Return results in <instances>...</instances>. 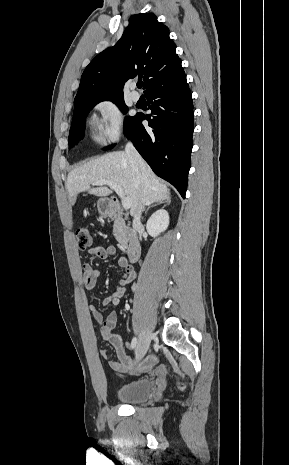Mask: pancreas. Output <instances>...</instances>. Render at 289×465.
Instances as JSON below:
<instances>
[{"mask_svg": "<svg viewBox=\"0 0 289 465\" xmlns=\"http://www.w3.org/2000/svg\"><path fill=\"white\" fill-rule=\"evenodd\" d=\"M113 233H114L116 240L119 242V245L125 248L127 246L128 237H127V231L125 230L124 224L121 221L116 220L114 222Z\"/></svg>", "mask_w": 289, "mask_h": 465, "instance_id": "cf45deb5", "label": "pancreas"}]
</instances>
